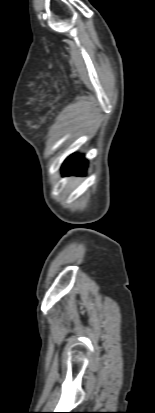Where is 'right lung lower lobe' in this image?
I'll use <instances>...</instances> for the list:
<instances>
[{
    "instance_id": "right-lung-lower-lobe-1",
    "label": "right lung lower lobe",
    "mask_w": 155,
    "mask_h": 413,
    "mask_svg": "<svg viewBox=\"0 0 155 413\" xmlns=\"http://www.w3.org/2000/svg\"><path fill=\"white\" fill-rule=\"evenodd\" d=\"M87 160L83 155L73 154L69 156L62 166L63 174L84 175L87 167Z\"/></svg>"
}]
</instances>
